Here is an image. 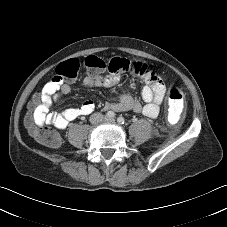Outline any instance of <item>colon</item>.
<instances>
[{
    "instance_id": "colon-1",
    "label": "colon",
    "mask_w": 227,
    "mask_h": 227,
    "mask_svg": "<svg viewBox=\"0 0 227 227\" xmlns=\"http://www.w3.org/2000/svg\"><path fill=\"white\" fill-rule=\"evenodd\" d=\"M112 68L113 64H107L102 58L95 55H88L83 59L72 58L61 63L56 71L57 74L45 86V93L55 92L64 80H74L77 78L82 69L86 68L93 73H99L106 68ZM133 72L145 76L150 73V68L141 62L134 61L130 66ZM40 99H43V93L38 94L33 100L32 104L35 105ZM167 103L169 112L174 115L182 113L185 106L184 92L177 84H170L167 92ZM30 134L42 145L57 148L61 144L60 136L47 126H32Z\"/></svg>"
}]
</instances>
